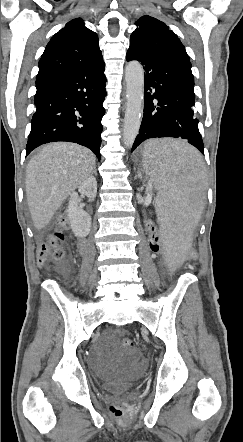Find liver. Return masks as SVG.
<instances>
[{
	"label": "liver",
	"instance_id": "obj_1",
	"mask_svg": "<svg viewBox=\"0 0 243 442\" xmlns=\"http://www.w3.org/2000/svg\"><path fill=\"white\" fill-rule=\"evenodd\" d=\"M95 156L75 143L55 142L30 159L25 178L29 211L36 229L45 228L72 192L93 173Z\"/></svg>",
	"mask_w": 243,
	"mask_h": 442
}]
</instances>
